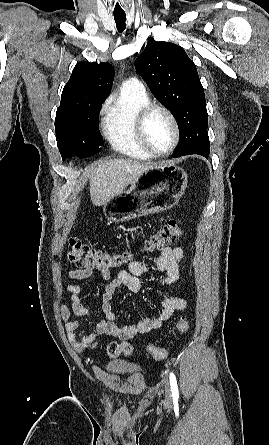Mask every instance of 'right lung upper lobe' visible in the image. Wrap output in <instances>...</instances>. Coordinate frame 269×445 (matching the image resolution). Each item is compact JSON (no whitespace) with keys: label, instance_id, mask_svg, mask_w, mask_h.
Returning a JSON list of instances; mask_svg holds the SVG:
<instances>
[{"label":"right lung upper lobe","instance_id":"cb5924a9","mask_svg":"<svg viewBox=\"0 0 269 445\" xmlns=\"http://www.w3.org/2000/svg\"><path fill=\"white\" fill-rule=\"evenodd\" d=\"M113 77L114 70L109 63H78L63 88L60 105L104 102Z\"/></svg>","mask_w":269,"mask_h":445}]
</instances>
